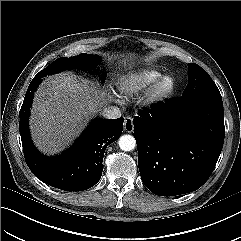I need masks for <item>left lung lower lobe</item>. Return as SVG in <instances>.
Segmentation results:
<instances>
[{
	"instance_id": "0a47b994",
	"label": "left lung lower lobe",
	"mask_w": 241,
	"mask_h": 241,
	"mask_svg": "<svg viewBox=\"0 0 241 241\" xmlns=\"http://www.w3.org/2000/svg\"><path fill=\"white\" fill-rule=\"evenodd\" d=\"M142 182L154 194L176 196L200 188L224 143L222 97L167 99L133 119Z\"/></svg>"
}]
</instances>
